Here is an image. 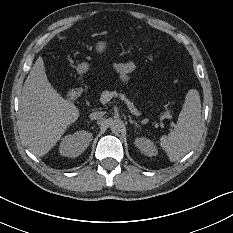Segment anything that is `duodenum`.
Returning a JSON list of instances; mask_svg holds the SVG:
<instances>
[{
  "mask_svg": "<svg viewBox=\"0 0 233 233\" xmlns=\"http://www.w3.org/2000/svg\"><path fill=\"white\" fill-rule=\"evenodd\" d=\"M83 92L84 90L81 87L73 88L68 92L67 99L74 102L83 95Z\"/></svg>",
  "mask_w": 233,
  "mask_h": 233,
  "instance_id": "1",
  "label": "duodenum"
}]
</instances>
